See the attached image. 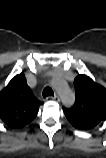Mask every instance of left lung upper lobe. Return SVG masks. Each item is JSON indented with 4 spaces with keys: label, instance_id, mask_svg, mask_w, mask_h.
<instances>
[{
    "label": "left lung upper lobe",
    "instance_id": "obj_1",
    "mask_svg": "<svg viewBox=\"0 0 106 158\" xmlns=\"http://www.w3.org/2000/svg\"><path fill=\"white\" fill-rule=\"evenodd\" d=\"M75 104L63 108L71 125L80 130H89L106 120V89L86 75L74 80Z\"/></svg>",
    "mask_w": 106,
    "mask_h": 158
}]
</instances>
